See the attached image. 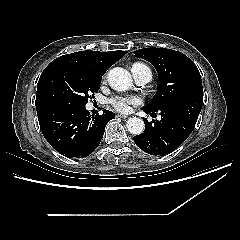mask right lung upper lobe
Wrapping results in <instances>:
<instances>
[{"mask_svg": "<svg viewBox=\"0 0 240 240\" xmlns=\"http://www.w3.org/2000/svg\"><path fill=\"white\" fill-rule=\"evenodd\" d=\"M127 52L126 51H80L67 55H63L53 60L43 71L42 77L50 69L58 65H71L86 74L95 77H102L109 67L120 60ZM37 111L43 109L36 106Z\"/></svg>", "mask_w": 240, "mask_h": 240, "instance_id": "obj_1", "label": "right lung upper lobe"}]
</instances>
